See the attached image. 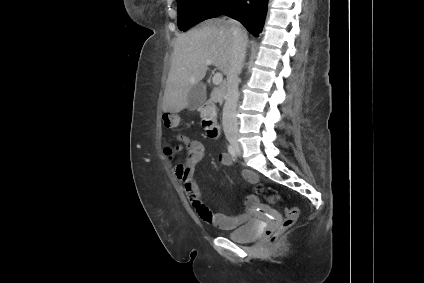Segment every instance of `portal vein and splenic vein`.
<instances>
[{"instance_id": "portal-vein-and-splenic-vein-1", "label": "portal vein and splenic vein", "mask_w": 424, "mask_h": 283, "mask_svg": "<svg viewBox=\"0 0 424 283\" xmlns=\"http://www.w3.org/2000/svg\"><path fill=\"white\" fill-rule=\"evenodd\" d=\"M206 63H207V65H211L212 64V61L211 60H207ZM222 81H223V75H222V73L221 72L214 73L213 78H212L213 84L215 86H218V85H220L222 83Z\"/></svg>"}]
</instances>
